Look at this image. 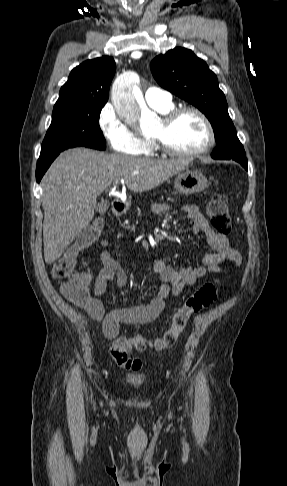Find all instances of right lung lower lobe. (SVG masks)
Wrapping results in <instances>:
<instances>
[{"mask_svg":"<svg viewBox=\"0 0 287 486\" xmlns=\"http://www.w3.org/2000/svg\"><path fill=\"white\" fill-rule=\"evenodd\" d=\"M60 153V152H59ZM59 153L40 157L37 161L36 167V181L40 182L41 178L45 174L46 170L49 168L53 160L59 155Z\"/></svg>","mask_w":287,"mask_h":486,"instance_id":"obj_1","label":"right lung lower lobe"}]
</instances>
